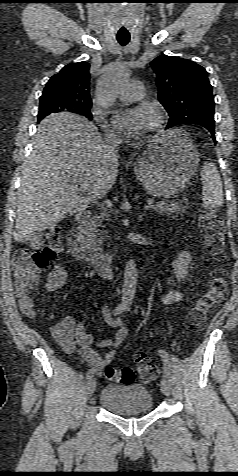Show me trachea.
Wrapping results in <instances>:
<instances>
[{"label":"trachea","instance_id":"obj_1","mask_svg":"<svg viewBox=\"0 0 238 476\" xmlns=\"http://www.w3.org/2000/svg\"><path fill=\"white\" fill-rule=\"evenodd\" d=\"M117 41L120 45L126 46L130 41V36L129 35L117 36Z\"/></svg>","mask_w":238,"mask_h":476}]
</instances>
